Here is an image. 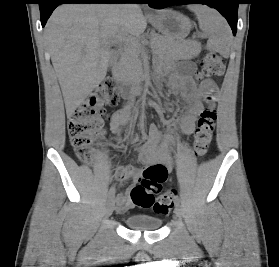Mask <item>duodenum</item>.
I'll return each mask as SVG.
<instances>
[{"instance_id": "obj_1", "label": "duodenum", "mask_w": 279, "mask_h": 267, "mask_svg": "<svg viewBox=\"0 0 279 267\" xmlns=\"http://www.w3.org/2000/svg\"><path fill=\"white\" fill-rule=\"evenodd\" d=\"M111 76L113 80L118 84L120 94L123 98L129 100L132 105L135 97L141 95L144 92L146 86V80L141 79L136 83L128 84L124 81L123 66L121 62L114 64L111 70Z\"/></svg>"}]
</instances>
